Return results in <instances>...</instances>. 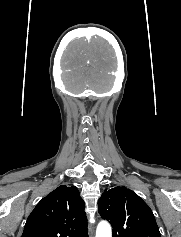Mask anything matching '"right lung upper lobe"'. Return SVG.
<instances>
[{
	"label": "right lung upper lobe",
	"instance_id": "right-lung-upper-lobe-1",
	"mask_svg": "<svg viewBox=\"0 0 181 237\" xmlns=\"http://www.w3.org/2000/svg\"><path fill=\"white\" fill-rule=\"evenodd\" d=\"M84 208L78 189L61 185L36 205L22 237H88Z\"/></svg>",
	"mask_w": 181,
	"mask_h": 237
}]
</instances>
